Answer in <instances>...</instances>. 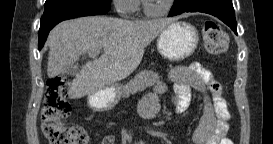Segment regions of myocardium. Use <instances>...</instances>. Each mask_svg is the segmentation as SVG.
Here are the masks:
<instances>
[{
  "instance_id": "f54148a6",
  "label": "myocardium",
  "mask_w": 273,
  "mask_h": 144,
  "mask_svg": "<svg viewBox=\"0 0 273 144\" xmlns=\"http://www.w3.org/2000/svg\"><path fill=\"white\" fill-rule=\"evenodd\" d=\"M176 0H168L159 10H153L148 7L145 1L142 2V8L145 14L151 16H159L168 13L174 6Z\"/></svg>"
}]
</instances>
